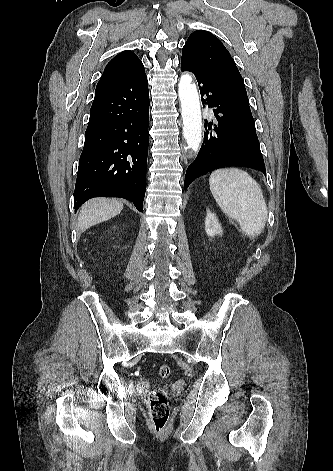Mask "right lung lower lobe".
I'll return each instance as SVG.
<instances>
[{
    "label": "right lung lower lobe",
    "instance_id": "obj_1",
    "mask_svg": "<svg viewBox=\"0 0 333 471\" xmlns=\"http://www.w3.org/2000/svg\"><path fill=\"white\" fill-rule=\"evenodd\" d=\"M148 118L145 73L124 89L94 98L79 160L75 211L93 197H121L143 212Z\"/></svg>",
    "mask_w": 333,
    "mask_h": 471
}]
</instances>
